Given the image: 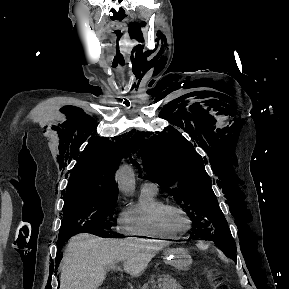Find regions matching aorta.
I'll list each match as a JSON object with an SVG mask.
<instances>
[{
    "mask_svg": "<svg viewBox=\"0 0 289 289\" xmlns=\"http://www.w3.org/2000/svg\"><path fill=\"white\" fill-rule=\"evenodd\" d=\"M116 182L120 191L131 194L135 190V176L130 165H122L116 173Z\"/></svg>",
    "mask_w": 289,
    "mask_h": 289,
    "instance_id": "aorta-1",
    "label": "aorta"
}]
</instances>
